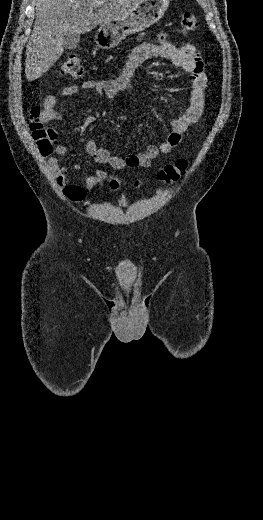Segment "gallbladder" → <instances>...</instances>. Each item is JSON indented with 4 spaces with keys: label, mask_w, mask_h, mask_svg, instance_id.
<instances>
[{
    "label": "gallbladder",
    "mask_w": 263,
    "mask_h": 520,
    "mask_svg": "<svg viewBox=\"0 0 263 520\" xmlns=\"http://www.w3.org/2000/svg\"><path fill=\"white\" fill-rule=\"evenodd\" d=\"M64 48L69 50H74L78 47L80 42V35L72 33V34H64L63 35Z\"/></svg>",
    "instance_id": "bac80fb5"
}]
</instances>
